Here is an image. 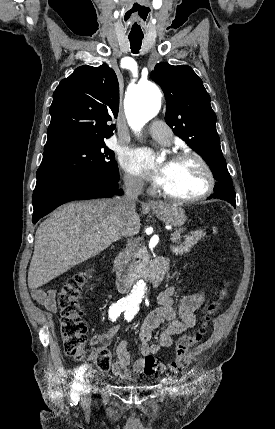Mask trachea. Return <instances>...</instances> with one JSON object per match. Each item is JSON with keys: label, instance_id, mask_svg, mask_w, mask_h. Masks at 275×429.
I'll list each match as a JSON object with an SVG mask.
<instances>
[{"label": "trachea", "instance_id": "1", "mask_svg": "<svg viewBox=\"0 0 275 429\" xmlns=\"http://www.w3.org/2000/svg\"><path fill=\"white\" fill-rule=\"evenodd\" d=\"M143 37H129L131 51L134 54H137L141 48Z\"/></svg>", "mask_w": 275, "mask_h": 429}]
</instances>
